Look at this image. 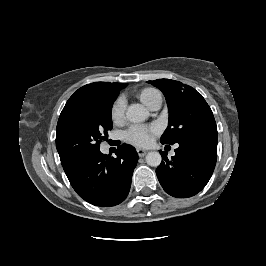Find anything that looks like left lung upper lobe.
Masks as SVG:
<instances>
[{"instance_id":"1","label":"left lung upper lobe","mask_w":266,"mask_h":266,"mask_svg":"<svg viewBox=\"0 0 266 266\" xmlns=\"http://www.w3.org/2000/svg\"><path fill=\"white\" fill-rule=\"evenodd\" d=\"M148 83L163 92L168 104V127L161 136V143L173 145L188 139L217 136L212 110L194 88L170 79Z\"/></svg>"}]
</instances>
